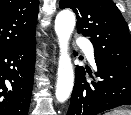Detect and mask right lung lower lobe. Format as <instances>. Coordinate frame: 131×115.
<instances>
[{"label": "right lung lower lobe", "instance_id": "98d812e1", "mask_svg": "<svg viewBox=\"0 0 131 115\" xmlns=\"http://www.w3.org/2000/svg\"><path fill=\"white\" fill-rule=\"evenodd\" d=\"M36 38L0 51V115H28Z\"/></svg>", "mask_w": 131, "mask_h": 115}]
</instances>
